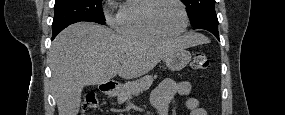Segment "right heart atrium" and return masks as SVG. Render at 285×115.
I'll return each instance as SVG.
<instances>
[{
	"mask_svg": "<svg viewBox=\"0 0 285 115\" xmlns=\"http://www.w3.org/2000/svg\"><path fill=\"white\" fill-rule=\"evenodd\" d=\"M107 17H108L109 20L111 19V16H110L108 11H107Z\"/></svg>",
	"mask_w": 285,
	"mask_h": 115,
	"instance_id": "obj_1",
	"label": "right heart atrium"
}]
</instances>
